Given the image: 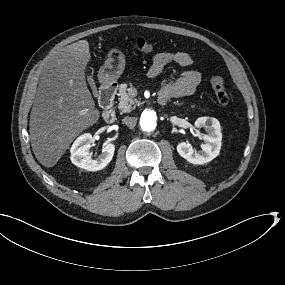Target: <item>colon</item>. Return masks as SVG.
<instances>
[{"label":"colon","instance_id":"1","mask_svg":"<svg viewBox=\"0 0 285 285\" xmlns=\"http://www.w3.org/2000/svg\"><path fill=\"white\" fill-rule=\"evenodd\" d=\"M134 45L139 51L144 53H149L154 49V45L144 38H137L134 41ZM210 83L217 101L221 105H227L230 101V94L223 78H221L220 76H212L210 78Z\"/></svg>","mask_w":285,"mask_h":285}]
</instances>
